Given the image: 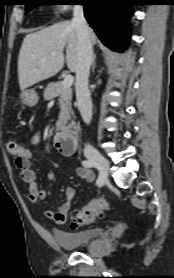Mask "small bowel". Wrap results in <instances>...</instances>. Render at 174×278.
<instances>
[{"label": "small bowel", "instance_id": "1", "mask_svg": "<svg viewBox=\"0 0 174 278\" xmlns=\"http://www.w3.org/2000/svg\"><path fill=\"white\" fill-rule=\"evenodd\" d=\"M38 140L39 136L35 135L32 139V144H37ZM15 164L20 170V177L22 181L28 184V200L31 203L44 200L46 198V191L38 186L37 174L32 168V158H16ZM76 174L80 179L87 183L92 184L95 181L94 173L85 167L77 168ZM75 195L76 191L74 188H66L63 203L56 211H46L44 215L56 224H64L67 221L68 213L71 209Z\"/></svg>", "mask_w": 174, "mask_h": 278}]
</instances>
